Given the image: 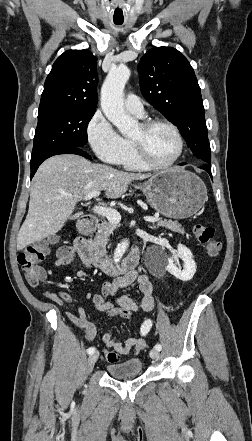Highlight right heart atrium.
<instances>
[{
    "mask_svg": "<svg viewBox=\"0 0 252 441\" xmlns=\"http://www.w3.org/2000/svg\"><path fill=\"white\" fill-rule=\"evenodd\" d=\"M86 137L93 153L101 161L114 165L121 163L127 150L126 139L101 111H96L87 123Z\"/></svg>",
    "mask_w": 252,
    "mask_h": 441,
    "instance_id": "1",
    "label": "right heart atrium"
}]
</instances>
